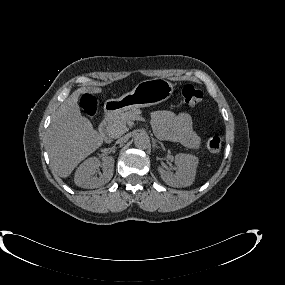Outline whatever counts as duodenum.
Listing matches in <instances>:
<instances>
[{
  "label": "duodenum",
  "mask_w": 285,
  "mask_h": 285,
  "mask_svg": "<svg viewBox=\"0 0 285 285\" xmlns=\"http://www.w3.org/2000/svg\"><path fill=\"white\" fill-rule=\"evenodd\" d=\"M111 115L110 113H105L99 124V132L103 140L108 141L110 139L109 134V123Z\"/></svg>",
  "instance_id": "1"
}]
</instances>
